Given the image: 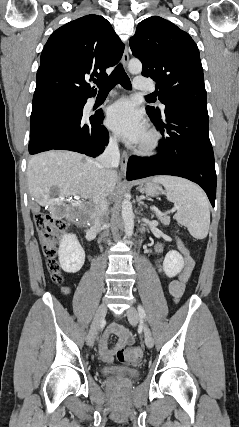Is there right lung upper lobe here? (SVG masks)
<instances>
[{
    "label": "right lung upper lobe",
    "instance_id": "1",
    "mask_svg": "<svg viewBox=\"0 0 239 427\" xmlns=\"http://www.w3.org/2000/svg\"><path fill=\"white\" fill-rule=\"evenodd\" d=\"M124 45L102 16L87 15L58 28L45 44L33 99L49 96L88 98L96 89L88 81L122 57Z\"/></svg>",
    "mask_w": 239,
    "mask_h": 427
}]
</instances>
